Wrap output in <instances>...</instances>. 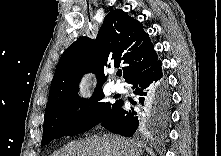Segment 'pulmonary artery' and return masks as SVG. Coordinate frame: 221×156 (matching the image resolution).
I'll return each mask as SVG.
<instances>
[{
    "mask_svg": "<svg viewBox=\"0 0 221 156\" xmlns=\"http://www.w3.org/2000/svg\"><path fill=\"white\" fill-rule=\"evenodd\" d=\"M112 89L116 92H122L124 90V87L120 83H115L113 84Z\"/></svg>",
    "mask_w": 221,
    "mask_h": 156,
    "instance_id": "e3ab8cb5",
    "label": "pulmonary artery"
}]
</instances>
